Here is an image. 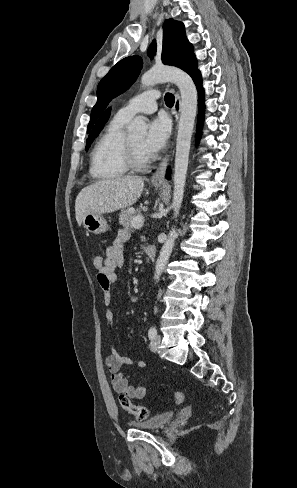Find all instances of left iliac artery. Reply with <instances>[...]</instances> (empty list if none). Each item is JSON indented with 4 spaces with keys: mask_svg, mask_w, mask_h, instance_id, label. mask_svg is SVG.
Returning a JSON list of instances; mask_svg holds the SVG:
<instances>
[{
    "mask_svg": "<svg viewBox=\"0 0 297 488\" xmlns=\"http://www.w3.org/2000/svg\"><path fill=\"white\" fill-rule=\"evenodd\" d=\"M156 335H157V330L154 326H152L148 331V337L149 339H153L155 338Z\"/></svg>",
    "mask_w": 297,
    "mask_h": 488,
    "instance_id": "obj_1",
    "label": "left iliac artery"
}]
</instances>
